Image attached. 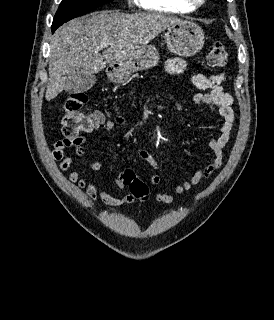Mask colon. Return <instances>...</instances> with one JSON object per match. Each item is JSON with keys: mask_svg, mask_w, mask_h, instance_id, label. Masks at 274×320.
I'll use <instances>...</instances> for the list:
<instances>
[{"mask_svg": "<svg viewBox=\"0 0 274 320\" xmlns=\"http://www.w3.org/2000/svg\"><path fill=\"white\" fill-rule=\"evenodd\" d=\"M208 64L222 68L228 62V54L222 44L210 46L207 55ZM87 96L81 92L71 94L60 106L62 134H87L92 120H105L99 111H85ZM58 157V156H56ZM119 181L129 186L133 198H145L148 195L146 184L132 170H119Z\"/></svg>", "mask_w": 274, "mask_h": 320, "instance_id": "1", "label": "colon"}]
</instances>
